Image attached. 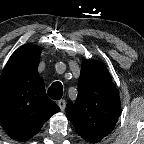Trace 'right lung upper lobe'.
Wrapping results in <instances>:
<instances>
[{"mask_svg":"<svg viewBox=\"0 0 144 144\" xmlns=\"http://www.w3.org/2000/svg\"><path fill=\"white\" fill-rule=\"evenodd\" d=\"M41 48L32 43L20 47L0 76V125L8 136L27 141L60 108L45 92L38 74Z\"/></svg>","mask_w":144,"mask_h":144,"instance_id":"right-lung-upper-lobe-1","label":"right lung upper lobe"}]
</instances>
